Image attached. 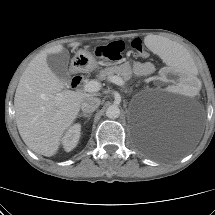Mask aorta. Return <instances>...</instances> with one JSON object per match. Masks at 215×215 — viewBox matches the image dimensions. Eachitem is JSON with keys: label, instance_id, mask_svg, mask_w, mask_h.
I'll list each match as a JSON object with an SVG mask.
<instances>
[{"label": "aorta", "instance_id": "1", "mask_svg": "<svg viewBox=\"0 0 215 215\" xmlns=\"http://www.w3.org/2000/svg\"><path fill=\"white\" fill-rule=\"evenodd\" d=\"M105 114L108 118L115 119L120 116V109L117 105H110Z\"/></svg>", "mask_w": 215, "mask_h": 215}]
</instances>
